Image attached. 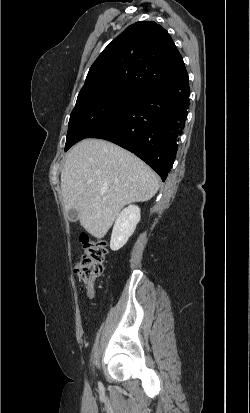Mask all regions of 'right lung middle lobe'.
Instances as JSON below:
<instances>
[{"label":"right lung middle lobe","mask_w":250,"mask_h":413,"mask_svg":"<svg viewBox=\"0 0 250 413\" xmlns=\"http://www.w3.org/2000/svg\"><path fill=\"white\" fill-rule=\"evenodd\" d=\"M140 93L125 85H96L82 89L70 115L65 151L114 118Z\"/></svg>","instance_id":"1"}]
</instances>
